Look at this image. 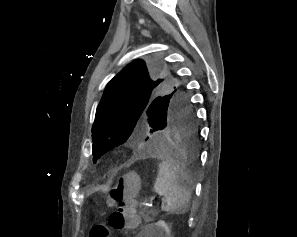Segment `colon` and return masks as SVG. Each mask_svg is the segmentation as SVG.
<instances>
[{
  "mask_svg": "<svg viewBox=\"0 0 297 237\" xmlns=\"http://www.w3.org/2000/svg\"><path fill=\"white\" fill-rule=\"evenodd\" d=\"M138 178L134 174L125 176L113 186L107 197V205L113 208L107 224H97L90 237H108L110 230H131L140 224L136 212Z\"/></svg>",
  "mask_w": 297,
  "mask_h": 237,
  "instance_id": "colon-1",
  "label": "colon"
}]
</instances>
